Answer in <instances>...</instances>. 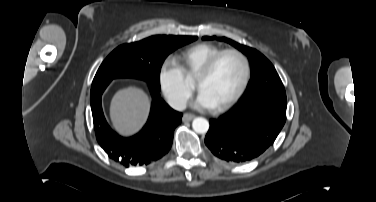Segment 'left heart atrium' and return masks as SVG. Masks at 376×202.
Returning <instances> with one entry per match:
<instances>
[{"label": "left heart atrium", "mask_w": 376, "mask_h": 202, "mask_svg": "<svg viewBox=\"0 0 376 202\" xmlns=\"http://www.w3.org/2000/svg\"><path fill=\"white\" fill-rule=\"evenodd\" d=\"M194 106L197 108H213L214 105L209 97L203 92L199 91L197 100L194 103Z\"/></svg>", "instance_id": "left-heart-atrium-1"}]
</instances>
